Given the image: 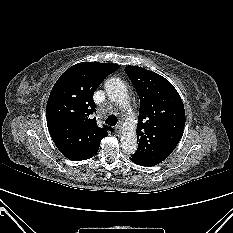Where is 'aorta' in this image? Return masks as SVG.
Masks as SVG:
<instances>
[{
  "mask_svg": "<svg viewBox=\"0 0 233 233\" xmlns=\"http://www.w3.org/2000/svg\"><path fill=\"white\" fill-rule=\"evenodd\" d=\"M105 90L109 98L119 105H123L128 101L127 88L119 78L108 79L105 82ZM120 142L124 153L133 154L137 150V135L134 121L125 128Z\"/></svg>",
  "mask_w": 233,
  "mask_h": 233,
  "instance_id": "aorta-1",
  "label": "aorta"
}]
</instances>
